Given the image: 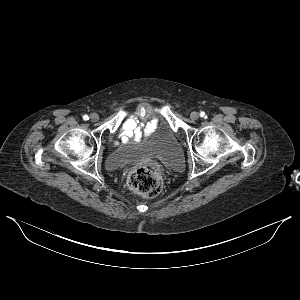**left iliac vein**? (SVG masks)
Returning a JSON list of instances; mask_svg holds the SVG:
<instances>
[{"instance_id": "4c4485c4", "label": "left iliac vein", "mask_w": 300, "mask_h": 300, "mask_svg": "<svg viewBox=\"0 0 300 300\" xmlns=\"http://www.w3.org/2000/svg\"><path fill=\"white\" fill-rule=\"evenodd\" d=\"M198 118H199V113L198 112H192L191 114H190V119L192 120V121H196V120H198Z\"/></svg>"}]
</instances>
